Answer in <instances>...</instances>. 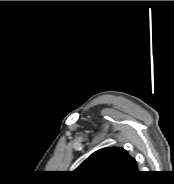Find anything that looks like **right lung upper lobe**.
<instances>
[{
    "instance_id": "obj_1",
    "label": "right lung upper lobe",
    "mask_w": 174,
    "mask_h": 184,
    "mask_svg": "<svg viewBox=\"0 0 174 184\" xmlns=\"http://www.w3.org/2000/svg\"><path fill=\"white\" fill-rule=\"evenodd\" d=\"M93 181H125L138 172L135 159L123 148L109 147L94 152L76 170Z\"/></svg>"
}]
</instances>
